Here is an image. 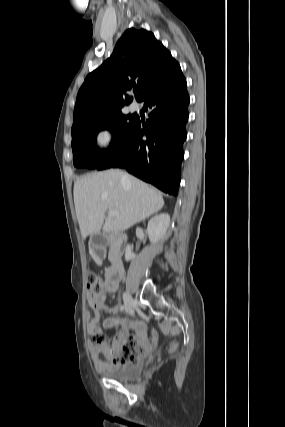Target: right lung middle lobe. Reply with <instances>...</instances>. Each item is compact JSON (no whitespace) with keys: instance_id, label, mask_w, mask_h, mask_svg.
Instances as JSON below:
<instances>
[{"instance_id":"dd1d6c3e","label":"right lung middle lobe","mask_w":285,"mask_h":427,"mask_svg":"<svg viewBox=\"0 0 285 427\" xmlns=\"http://www.w3.org/2000/svg\"><path fill=\"white\" fill-rule=\"evenodd\" d=\"M136 116L124 115L121 110L72 130L73 163L78 168L94 169L114 153L127 137ZM109 129L112 144L107 151L96 148V136L100 130Z\"/></svg>"}]
</instances>
